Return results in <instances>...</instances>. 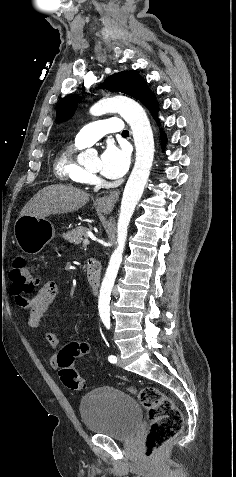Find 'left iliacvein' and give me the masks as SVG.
Listing matches in <instances>:
<instances>
[{
	"mask_svg": "<svg viewBox=\"0 0 236 477\" xmlns=\"http://www.w3.org/2000/svg\"><path fill=\"white\" fill-rule=\"evenodd\" d=\"M117 357H118L117 365H118L119 367H122V360H121V358H120L119 355H117Z\"/></svg>",
	"mask_w": 236,
	"mask_h": 477,
	"instance_id": "4c4485c4",
	"label": "left iliac vein"
}]
</instances>
